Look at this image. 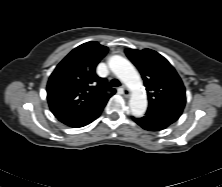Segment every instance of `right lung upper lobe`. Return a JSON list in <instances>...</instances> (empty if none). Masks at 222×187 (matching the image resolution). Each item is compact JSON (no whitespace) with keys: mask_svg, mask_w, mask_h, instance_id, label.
Segmentation results:
<instances>
[{"mask_svg":"<svg viewBox=\"0 0 222 187\" xmlns=\"http://www.w3.org/2000/svg\"><path fill=\"white\" fill-rule=\"evenodd\" d=\"M107 51L98 42H87L58 64L47 84L53 114H85L104 108L115 89L95 73V68Z\"/></svg>","mask_w":222,"mask_h":187,"instance_id":"cb5924a9","label":"right lung upper lobe"}]
</instances>
